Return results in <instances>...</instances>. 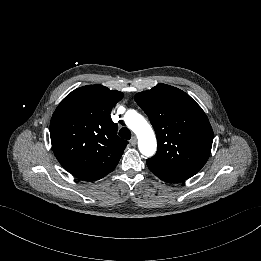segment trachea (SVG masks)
<instances>
[{"instance_id": "trachea-1", "label": "trachea", "mask_w": 261, "mask_h": 261, "mask_svg": "<svg viewBox=\"0 0 261 261\" xmlns=\"http://www.w3.org/2000/svg\"><path fill=\"white\" fill-rule=\"evenodd\" d=\"M119 136L125 140L131 139V132L128 128H121L119 131Z\"/></svg>"}]
</instances>
